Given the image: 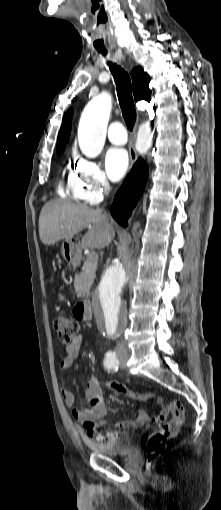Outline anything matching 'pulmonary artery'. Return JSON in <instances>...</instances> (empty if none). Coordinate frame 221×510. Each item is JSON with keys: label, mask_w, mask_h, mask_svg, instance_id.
Masks as SVG:
<instances>
[{"label": "pulmonary artery", "mask_w": 221, "mask_h": 510, "mask_svg": "<svg viewBox=\"0 0 221 510\" xmlns=\"http://www.w3.org/2000/svg\"><path fill=\"white\" fill-rule=\"evenodd\" d=\"M108 139L115 145H123L127 142V132L124 125L118 121L113 122L108 130Z\"/></svg>", "instance_id": "obj_1"}]
</instances>
